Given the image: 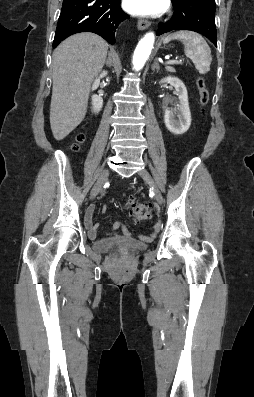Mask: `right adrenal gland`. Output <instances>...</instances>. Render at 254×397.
I'll return each instance as SVG.
<instances>
[{
	"label": "right adrenal gland",
	"mask_w": 254,
	"mask_h": 397,
	"mask_svg": "<svg viewBox=\"0 0 254 397\" xmlns=\"http://www.w3.org/2000/svg\"><path fill=\"white\" fill-rule=\"evenodd\" d=\"M106 65L109 66V67H111V65H112V61H111V58H110V54H108V59H107V61H106Z\"/></svg>",
	"instance_id": "right-adrenal-gland-1"
}]
</instances>
